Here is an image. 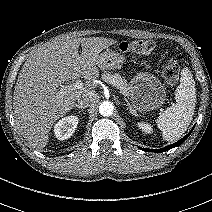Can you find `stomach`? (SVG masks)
<instances>
[{
	"mask_svg": "<svg viewBox=\"0 0 212 212\" xmlns=\"http://www.w3.org/2000/svg\"><path fill=\"white\" fill-rule=\"evenodd\" d=\"M124 63V55L110 49L103 51L98 58V67L103 70L119 69ZM128 97L133 111L144 112L160 108L167 99V93L156 76L148 72H139L130 81Z\"/></svg>",
	"mask_w": 212,
	"mask_h": 212,
	"instance_id": "1",
	"label": "stomach"
}]
</instances>
